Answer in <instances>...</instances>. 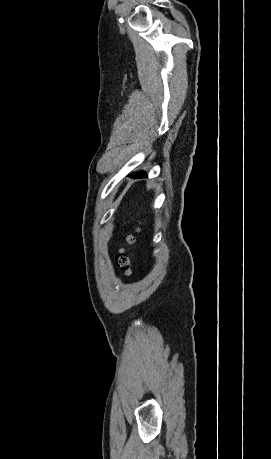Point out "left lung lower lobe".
Segmentation results:
<instances>
[{"label":"left lung lower lobe","mask_w":271,"mask_h":459,"mask_svg":"<svg viewBox=\"0 0 271 459\" xmlns=\"http://www.w3.org/2000/svg\"><path fill=\"white\" fill-rule=\"evenodd\" d=\"M130 177L131 178H146L147 176L144 172H139V173L130 175Z\"/></svg>","instance_id":"1"}]
</instances>
